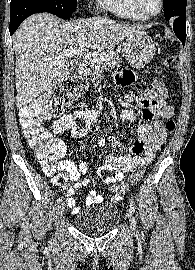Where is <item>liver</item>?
<instances>
[{
  "label": "liver",
  "instance_id": "liver-1",
  "mask_svg": "<svg viewBox=\"0 0 195 270\" xmlns=\"http://www.w3.org/2000/svg\"><path fill=\"white\" fill-rule=\"evenodd\" d=\"M139 32H143L141 26L116 23L107 17L60 22L49 13L30 16L13 35L16 106H26L65 80L70 64L64 51L92 49L100 53Z\"/></svg>",
  "mask_w": 195,
  "mask_h": 270
}]
</instances>
